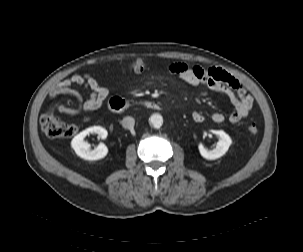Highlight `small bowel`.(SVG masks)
Here are the masks:
<instances>
[{"label": "small bowel", "mask_w": 303, "mask_h": 252, "mask_svg": "<svg viewBox=\"0 0 303 252\" xmlns=\"http://www.w3.org/2000/svg\"><path fill=\"white\" fill-rule=\"evenodd\" d=\"M168 70L179 77L182 81L193 86H202L215 92H221L228 95L234 105L235 110L230 114L229 121L237 123L245 117L252 108V96L250 92L233 76L222 71L205 69L197 65H190L183 62H174L168 65ZM81 85L89 90V98L84 100L80 93L71 89L72 85ZM63 92L74 96L78 102V108H69L59 106L61 113L76 116L81 111H94L102 108L109 97V90L101 85L93 76L89 74H75L69 78L60 81L52 94ZM118 97L110 100V106H113ZM192 119L196 123L205 120V116L200 111L192 113ZM211 119L215 123H221L225 120V115L221 112H214Z\"/></svg>", "instance_id": "obj_1"}]
</instances>
